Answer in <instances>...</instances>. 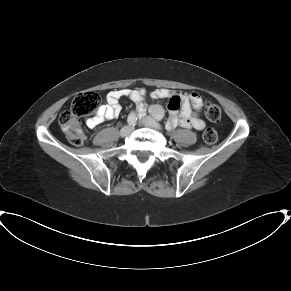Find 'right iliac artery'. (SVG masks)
<instances>
[{
	"mask_svg": "<svg viewBox=\"0 0 291 291\" xmlns=\"http://www.w3.org/2000/svg\"><path fill=\"white\" fill-rule=\"evenodd\" d=\"M137 121V116L135 112H131L128 116L127 122L130 126H134Z\"/></svg>",
	"mask_w": 291,
	"mask_h": 291,
	"instance_id": "82829eb1",
	"label": "right iliac artery"
}]
</instances>
